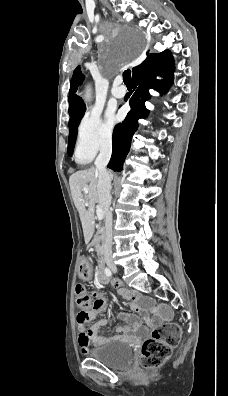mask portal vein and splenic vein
I'll use <instances>...</instances> for the list:
<instances>
[{
    "mask_svg": "<svg viewBox=\"0 0 228 396\" xmlns=\"http://www.w3.org/2000/svg\"><path fill=\"white\" fill-rule=\"evenodd\" d=\"M84 191H85V194H87V190H86V188H84ZM96 213H97V217H98V219L99 220H102V218H103V210H102V208L100 207V206H96Z\"/></svg>",
    "mask_w": 228,
    "mask_h": 396,
    "instance_id": "portal-vein-and-splenic-vein-1",
    "label": "portal vein and splenic vein"
}]
</instances>
